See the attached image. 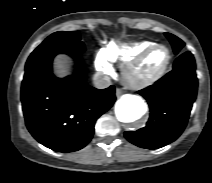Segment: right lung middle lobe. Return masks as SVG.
I'll use <instances>...</instances> for the list:
<instances>
[{
  "label": "right lung middle lobe",
  "mask_w": 212,
  "mask_h": 183,
  "mask_svg": "<svg viewBox=\"0 0 212 183\" xmlns=\"http://www.w3.org/2000/svg\"><path fill=\"white\" fill-rule=\"evenodd\" d=\"M85 50L84 44L80 41V35L76 32H55L47 37L31 55L52 52L67 53L76 55Z\"/></svg>",
  "instance_id": "dd1d6c3e"
}]
</instances>
